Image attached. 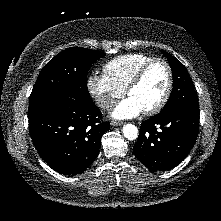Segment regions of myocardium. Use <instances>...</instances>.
<instances>
[{
    "instance_id": "obj_1",
    "label": "myocardium",
    "mask_w": 221,
    "mask_h": 221,
    "mask_svg": "<svg viewBox=\"0 0 221 221\" xmlns=\"http://www.w3.org/2000/svg\"><path fill=\"white\" fill-rule=\"evenodd\" d=\"M155 63H161L164 65L167 72V85L158 103L147 110H143V113L145 115H154L158 113L160 110H162V108L166 105L171 95L173 88V72L170 64L166 60L159 57L148 60L135 72V74L133 75V77L131 78V80L129 81L128 85L125 88V93L126 95L129 96L130 91L134 89L141 82L147 70Z\"/></svg>"
}]
</instances>
